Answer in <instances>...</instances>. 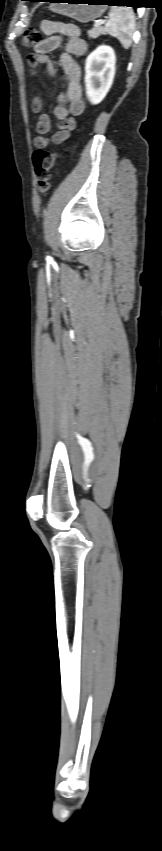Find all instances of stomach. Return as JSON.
<instances>
[{
  "label": "stomach",
  "instance_id": "0dacf381",
  "mask_svg": "<svg viewBox=\"0 0 162 851\" xmlns=\"http://www.w3.org/2000/svg\"><path fill=\"white\" fill-rule=\"evenodd\" d=\"M50 10L86 23L99 18L106 10L105 0H52Z\"/></svg>",
  "mask_w": 162,
  "mask_h": 851
}]
</instances>
